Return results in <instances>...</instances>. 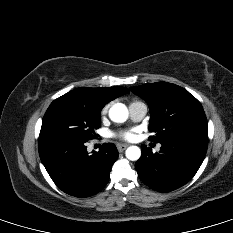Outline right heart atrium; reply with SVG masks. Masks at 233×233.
<instances>
[{"instance_id": "right-heart-atrium-1", "label": "right heart atrium", "mask_w": 233, "mask_h": 233, "mask_svg": "<svg viewBox=\"0 0 233 233\" xmlns=\"http://www.w3.org/2000/svg\"><path fill=\"white\" fill-rule=\"evenodd\" d=\"M108 109H109V105L107 104V105H105V106L102 108L101 114H102V115H105V114L108 112Z\"/></svg>"}]
</instances>
